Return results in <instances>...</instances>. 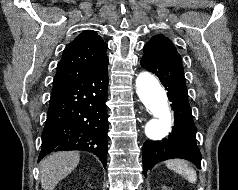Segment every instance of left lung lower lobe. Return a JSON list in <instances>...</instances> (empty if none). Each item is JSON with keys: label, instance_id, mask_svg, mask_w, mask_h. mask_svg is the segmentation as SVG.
Instances as JSON below:
<instances>
[{"label": "left lung lower lobe", "instance_id": "0a47b994", "mask_svg": "<svg viewBox=\"0 0 238 190\" xmlns=\"http://www.w3.org/2000/svg\"><path fill=\"white\" fill-rule=\"evenodd\" d=\"M141 66L155 73L168 91L175 118L172 132L167 138L144 143V172L160 161L173 158L186 159L200 167L201 153L196 144V127L188 101L182 62L144 52Z\"/></svg>", "mask_w": 238, "mask_h": 190}]
</instances>
